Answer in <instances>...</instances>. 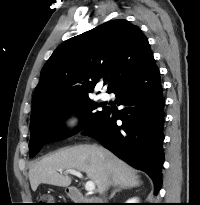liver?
Returning <instances> with one entry per match:
<instances>
[{
  "mask_svg": "<svg viewBox=\"0 0 200 205\" xmlns=\"http://www.w3.org/2000/svg\"><path fill=\"white\" fill-rule=\"evenodd\" d=\"M60 169L86 173L100 193L110 185L135 187L140 184L134 170L109 150L96 145H78L33 163L29 169L32 190L36 191L41 183L68 187L72 179L59 173Z\"/></svg>",
  "mask_w": 200,
  "mask_h": 205,
  "instance_id": "1",
  "label": "liver"
}]
</instances>
